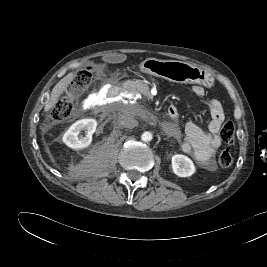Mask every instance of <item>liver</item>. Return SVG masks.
Masks as SVG:
<instances>
[{"instance_id":"1","label":"liver","mask_w":267,"mask_h":267,"mask_svg":"<svg viewBox=\"0 0 267 267\" xmlns=\"http://www.w3.org/2000/svg\"><path fill=\"white\" fill-rule=\"evenodd\" d=\"M75 77L76 74L74 72H70L54 86L50 95V100L44 107L45 112H48L51 108L55 106L60 96L67 90V87L71 84Z\"/></svg>"}]
</instances>
